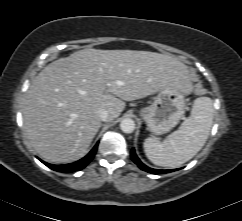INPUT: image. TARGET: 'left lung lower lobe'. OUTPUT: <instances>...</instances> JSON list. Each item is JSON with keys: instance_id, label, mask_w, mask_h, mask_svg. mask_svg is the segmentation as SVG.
Returning <instances> with one entry per match:
<instances>
[{"instance_id": "1", "label": "left lung lower lobe", "mask_w": 242, "mask_h": 221, "mask_svg": "<svg viewBox=\"0 0 242 221\" xmlns=\"http://www.w3.org/2000/svg\"><path fill=\"white\" fill-rule=\"evenodd\" d=\"M131 158L132 160L134 161L135 164L138 165V167L148 173H152V174H160V173H169V172H172V171H175V170H178V169H173V170H158V169H153V168H150L148 166H146L145 164H143L140 159L137 157L136 153H135V150L132 149L131 150Z\"/></svg>"}]
</instances>
